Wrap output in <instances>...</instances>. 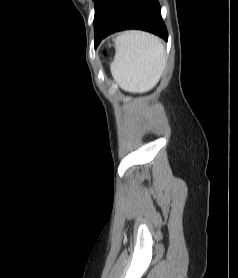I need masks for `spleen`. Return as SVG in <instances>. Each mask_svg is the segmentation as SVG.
I'll list each match as a JSON object with an SVG mask.
<instances>
[{"instance_id": "1", "label": "spleen", "mask_w": 238, "mask_h": 278, "mask_svg": "<svg viewBox=\"0 0 238 278\" xmlns=\"http://www.w3.org/2000/svg\"><path fill=\"white\" fill-rule=\"evenodd\" d=\"M111 65L116 83L125 91L145 92L160 80L166 65L165 48L160 39L143 31H126L117 38Z\"/></svg>"}]
</instances>
